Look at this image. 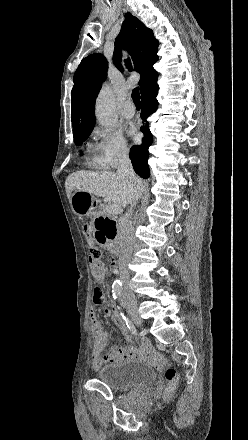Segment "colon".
I'll use <instances>...</instances> for the list:
<instances>
[{"label":"colon","instance_id":"obj_1","mask_svg":"<svg viewBox=\"0 0 248 440\" xmlns=\"http://www.w3.org/2000/svg\"><path fill=\"white\" fill-rule=\"evenodd\" d=\"M100 255V250L97 247L90 248V266L94 277L98 280H102L106 275V268L104 263L100 259ZM94 296L96 299L104 298V294L99 288L95 289ZM165 376L168 381L166 396H169L178 381V374L174 369L170 368L166 371Z\"/></svg>","mask_w":248,"mask_h":440}]
</instances>
